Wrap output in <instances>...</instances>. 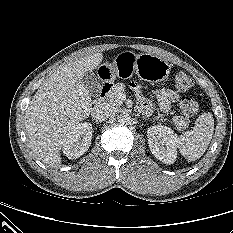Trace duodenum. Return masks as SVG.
Instances as JSON below:
<instances>
[{"label": "duodenum", "instance_id": "410a0bca", "mask_svg": "<svg viewBox=\"0 0 233 233\" xmlns=\"http://www.w3.org/2000/svg\"><path fill=\"white\" fill-rule=\"evenodd\" d=\"M113 86V82L110 79H106L101 86V89L99 91V94L95 100L96 104H100L104 101V99L106 98L108 92L110 91V89Z\"/></svg>", "mask_w": 233, "mask_h": 233}]
</instances>
